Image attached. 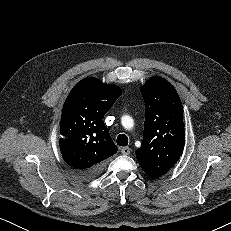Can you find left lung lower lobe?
<instances>
[{"label":"left lung lower lobe","mask_w":231,"mask_h":231,"mask_svg":"<svg viewBox=\"0 0 231 231\" xmlns=\"http://www.w3.org/2000/svg\"><path fill=\"white\" fill-rule=\"evenodd\" d=\"M148 176H150V177L153 178V179L159 178V177L153 176V175H148Z\"/></svg>","instance_id":"1"}]
</instances>
